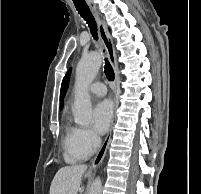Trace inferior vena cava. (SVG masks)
<instances>
[{
  "mask_svg": "<svg viewBox=\"0 0 201 194\" xmlns=\"http://www.w3.org/2000/svg\"><path fill=\"white\" fill-rule=\"evenodd\" d=\"M100 143V139H98V142L96 143V145H98Z\"/></svg>",
  "mask_w": 201,
  "mask_h": 194,
  "instance_id": "inferior-vena-cava-1",
  "label": "inferior vena cava"
}]
</instances>
